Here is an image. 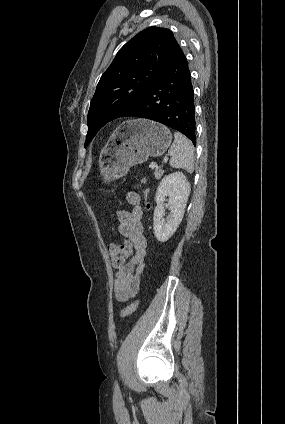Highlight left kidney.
<instances>
[{
    "label": "left kidney",
    "mask_w": 285,
    "mask_h": 424,
    "mask_svg": "<svg viewBox=\"0 0 285 424\" xmlns=\"http://www.w3.org/2000/svg\"><path fill=\"white\" fill-rule=\"evenodd\" d=\"M191 188L186 176L182 172L166 175L160 182L155 201L153 229L159 242H166L175 233L182 221ZM169 196L168 220H164V201Z\"/></svg>",
    "instance_id": "1"
}]
</instances>
